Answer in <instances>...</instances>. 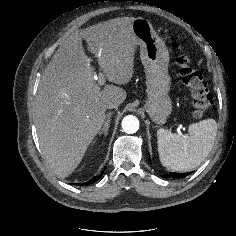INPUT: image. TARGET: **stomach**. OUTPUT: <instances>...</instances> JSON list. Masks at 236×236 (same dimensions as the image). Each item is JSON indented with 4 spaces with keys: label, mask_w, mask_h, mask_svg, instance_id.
Masks as SVG:
<instances>
[{
    "label": "stomach",
    "mask_w": 236,
    "mask_h": 236,
    "mask_svg": "<svg viewBox=\"0 0 236 236\" xmlns=\"http://www.w3.org/2000/svg\"><path fill=\"white\" fill-rule=\"evenodd\" d=\"M131 29L136 46L140 48V57L146 74L145 109L154 123L165 124L172 112V101L169 97L171 78L168 73V49L148 20L135 18Z\"/></svg>",
    "instance_id": "1"
}]
</instances>
